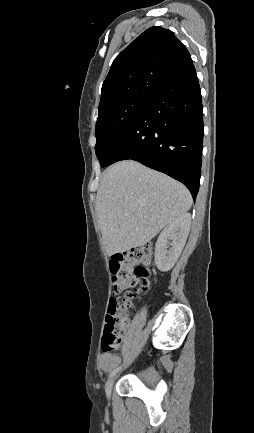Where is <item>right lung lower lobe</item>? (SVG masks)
<instances>
[{
  "instance_id": "obj_1",
  "label": "right lung lower lobe",
  "mask_w": 254,
  "mask_h": 433,
  "mask_svg": "<svg viewBox=\"0 0 254 433\" xmlns=\"http://www.w3.org/2000/svg\"><path fill=\"white\" fill-rule=\"evenodd\" d=\"M203 106L191 63L151 97L122 136L107 166L131 159L182 182L195 201L203 149Z\"/></svg>"
}]
</instances>
